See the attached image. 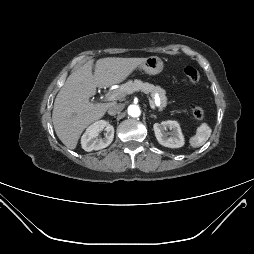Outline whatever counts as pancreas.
<instances>
[{
  "mask_svg": "<svg viewBox=\"0 0 254 254\" xmlns=\"http://www.w3.org/2000/svg\"><path fill=\"white\" fill-rule=\"evenodd\" d=\"M135 91H142L146 94H150L152 98L156 95L160 99V104L158 105V110L161 112L167 106V97L166 91L160 86H154L153 84H149L148 82H142L141 80L128 81L125 84L121 85L118 89V92L125 96L127 94H131Z\"/></svg>",
  "mask_w": 254,
  "mask_h": 254,
  "instance_id": "cf45deb5",
  "label": "pancreas"
}]
</instances>
